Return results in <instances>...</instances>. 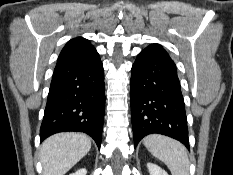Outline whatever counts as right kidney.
Returning a JSON list of instances; mask_svg holds the SVG:
<instances>
[{
  "label": "right kidney",
  "instance_id": "right-kidney-1",
  "mask_svg": "<svg viewBox=\"0 0 233 175\" xmlns=\"http://www.w3.org/2000/svg\"><path fill=\"white\" fill-rule=\"evenodd\" d=\"M87 170L85 168L77 170L75 173H72L70 175H86Z\"/></svg>",
  "mask_w": 233,
  "mask_h": 175
}]
</instances>
